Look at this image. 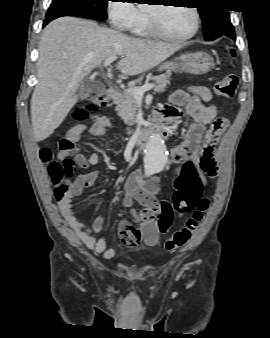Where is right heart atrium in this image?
<instances>
[{
	"instance_id": "d8ad5b80",
	"label": "right heart atrium",
	"mask_w": 270,
	"mask_h": 338,
	"mask_svg": "<svg viewBox=\"0 0 270 338\" xmlns=\"http://www.w3.org/2000/svg\"><path fill=\"white\" fill-rule=\"evenodd\" d=\"M108 11L113 26L121 30H128L145 20L144 14L129 0L111 4Z\"/></svg>"
}]
</instances>
